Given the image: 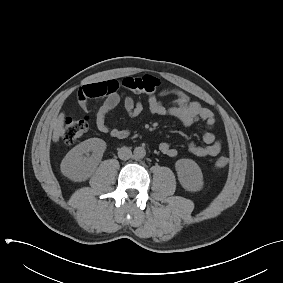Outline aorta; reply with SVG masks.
I'll use <instances>...</instances> for the list:
<instances>
[{
    "label": "aorta",
    "instance_id": "762f6f07",
    "mask_svg": "<svg viewBox=\"0 0 283 283\" xmlns=\"http://www.w3.org/2000/svg\"><path fill=\"white\" fill-rule=\"evenodd\" d=\"M145 155H146V150H145V148L144 147H136L135 149H134V157L136 158V159H142V158H144L145 157Z\"/></svg>",
    "mask_w": 283,
    "mask_h": 283
}]
</instances>
